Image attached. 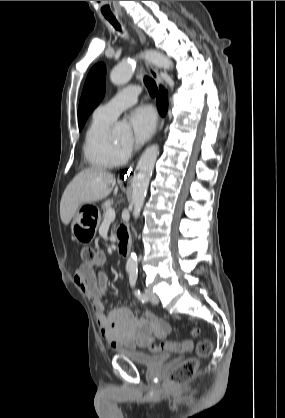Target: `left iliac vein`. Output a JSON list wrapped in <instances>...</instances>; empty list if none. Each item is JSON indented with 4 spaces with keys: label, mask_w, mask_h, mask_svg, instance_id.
<instances>
[{
    "label": "left iliac vein",
    "mask_w": 285,
    "mask_h": 418,
    "mask_svg": "<svg viewBox=\"0 0 285 418\" xmlns=\"http://www.w3.org/2000/svg\"><path fill=\"white\" fill-rule=\"evenodd\" d=\"M145 295L151 302L153 303L159 302L158 297L153 293V291L150 288L145 289Z\"/></svg>",
    "instance_id": "4c4485c4"
}]
</instances>
